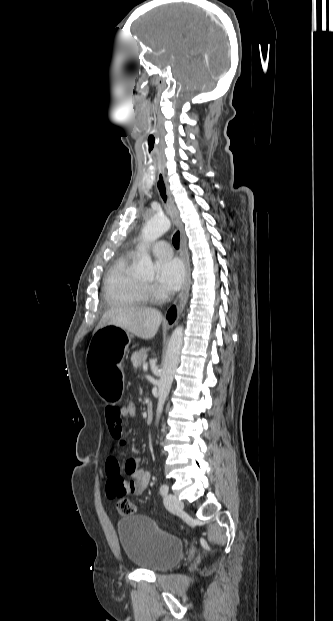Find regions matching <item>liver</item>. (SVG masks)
Instances as JSON below:
<instances>
[{"label": "liver", "mask_w": 333, "mask_h": 621, "mask_svg": "<svg viewBox=\"0 0 333 621\" xmlns=\"http://www.w3.org/2000/svg\"><path fill=\"white\" fill-rule=\"evenodd\" d=\"M162 321V314L153 308L138 306L116 307L106 311L95 331L113 325L135 336L148 340L153 338Z\"/></svg>", "instance_id": "liver-1"}]
</instances>
